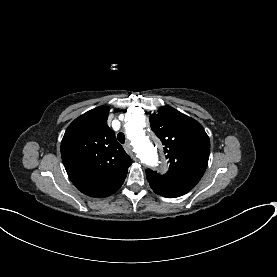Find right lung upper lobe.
<instances>
[{
    "mask_svg": "<svg viewBox=\"0 0 277 277\" xmlns=\"http://www.w3.org/2000/svg\"><path fill=\"white\" fill-rule=\"evenodd\" d=\"M110 108L101 106L75 119L61 143L62 161L67 174L82 193L103 198L123 184L131 158L108 127Z\"/></svg>",
    "mask_w": 277,
    "mask_h": 277,
    "instance_id": "right-lung-upper-lobe-1",
    "label": "right lung upper lobe"
}]
</instances>
